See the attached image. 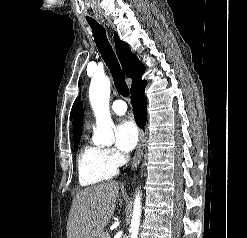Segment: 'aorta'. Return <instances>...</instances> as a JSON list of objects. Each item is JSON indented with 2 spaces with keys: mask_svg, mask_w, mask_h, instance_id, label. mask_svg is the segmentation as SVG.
Masks as SVG:
<instances>
[{
  "mask_svg": "<svg viewBox=\"0 0 247 238\" xmlns=\"http://www.w3.org/2000/svg\"><path fill=\"white\" fill-rule=\"evenodd\" d=\"M110 80L107 77H94L90 84L89 99L96 117L93 142L96 145H111L114 140L113 121L109 110ZM141 194L135 196L130 227V238H137L141 218Z\"/></svg>",
  "mask_w": 247,
  "mask_h": 238,
  "instance_id": "aorta-1",
  "label": "aorta"
}]
</instances>
